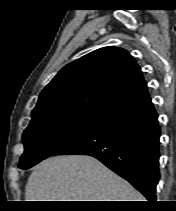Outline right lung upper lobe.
Masks as SVG:
<instances>
[{
	"instance_id": "1",
	"label": "right lung upper lobe",
	"mask_w": 176,
	"mask_h": 211,
	"mask_svg": "<svg viewBox=\"0 0 176 211\" xmlns=\"http://www.w3.org/2000/svg\"><path fill=\"white\" fill-rule=\"evenodd\" d=\"M151 101L136 61L124 49L104 47L66 65L44 88L32 115L66 111L103 119Z\"/></svg>"
}]
</instances>
